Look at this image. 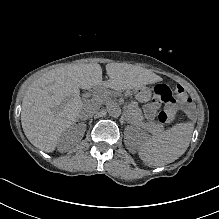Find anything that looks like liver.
Returning a JSON list of instances; mask_svg holds the SVG:
<instances>
[{
  "label": "liver",
  "mask_w": 219,
  "mask_h": 219,
  "mask_svg": "<svg viewBox=\"0 0 219 219\" xmlns=\"http://www.w3.org/2000/svg\"><path fill=\"white\" fill-rule=\"evenodd\" d=\"M109 80H102L99 64L67 65L43 73L25 92L21 124L28 140L45 152H53L60 135L76 122L84 111L94 115L106 95L95 94L82 102L80 88H111L116 91L135 89L151 83L152 73L140 66L107 64ZM63 102H65L63 104Z\"/></svg>",
  "instance_id": "liver-1"
}]
</instances>
